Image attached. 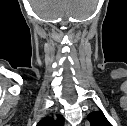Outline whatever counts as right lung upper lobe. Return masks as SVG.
Returning <instances> with one entry per match:
<instances>
[{
	"mask_svg": "<svg viewBox=\"0 0 127 126\" xmlns=\"http://www.w3.org/2000/svg\"><path fill=\"white\" fill-rule=\"evenodd\" d=\"M63 124H64L63 116L57 115L56 121L53 118L45 117L37 124V126H63Z\"/></svg>",
	"mask_w": 127,
	"mask_h": 126,
	"instance_id": "obj_1",
	"label": "right lung upper lobe"
}]
</instances>
